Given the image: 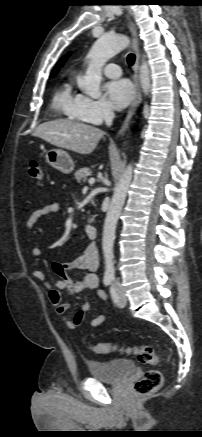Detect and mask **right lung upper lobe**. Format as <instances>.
I'll return each instance as SVG.
<instances>
[{
	"label": "right lung upper lobe",
	"mask_w": 202,
	"mask_h": 437,
	"mask_svg": "<svg viewBox=\"0 0 202 437\" xmlns=\"http://www.w3.org/2000/svg\"><path fill=\"white\" fill-rule=\"evenodd\" d=\"M70 56V53H68L67 55H65L64 57H62L59 62L57 63V65L55 66V68L53 69L51 76H54L57 74V72L59 71V68L62 67V65L64 64V62L67 60V58Z\"/></svg>",
	"instance_id": "obj_1"
}]
</instances>
